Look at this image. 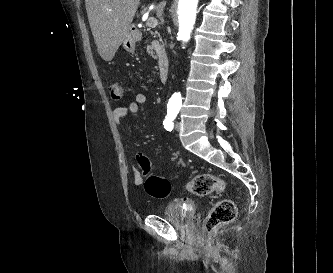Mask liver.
Here are the masks:
<instances>
[{"label": "liver", "instance_id": "6515ba94", "mask_svg": "<svg viewBox=\"0 0 333 273\" xmlns=\"http://www.w3.org/2000/svg\"><path fill=\"white\" fill-rule=\"evenodd\" d=\"M140 0H85L86 11L101 58L111 61L129 29Z\"/></svg>", "mask_w": 333, "mask_h": 273}]
</instances>
